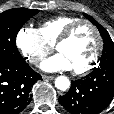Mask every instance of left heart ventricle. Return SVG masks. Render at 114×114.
Listing matches in <instances>:
<instances>
[{"instance_id": "1", "label": "left heart ventricle", "mask_w": 114, "mask_h": 114, "mask_svg": "<svg viewBox=\"0 0 114 114\" xmlns=\"http://www.w3.org/2000/svg\"><path fill=\"white\" fill-rule=\"evenodd\" d=\"M97 48V39L92 29L86 25L80 26L73 36L58 47L71 63L73 70L86 66L93 58Z\"/></svg>"}]
</instances>
